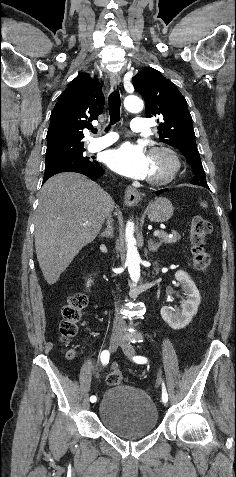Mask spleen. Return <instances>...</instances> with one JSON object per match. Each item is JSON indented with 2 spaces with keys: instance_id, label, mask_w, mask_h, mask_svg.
Instances as JSON below:
<instances>
[{
  "instance_id": "3e777b00",
  "label": "spleen",
  "mask_w": 236,
  "mask_h": 477,
  "mask_svg": "<svg viewBox=\"0 0 236 477\" xmlns=\"http://www.w3.org/2000/svg\"><path fill=\"white\" fill-rule=\"evenodd\" d=\"M201 206L206 208L207 207V203L206 202H201Z\"/></svg>"
}]
</instances>
